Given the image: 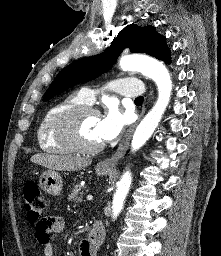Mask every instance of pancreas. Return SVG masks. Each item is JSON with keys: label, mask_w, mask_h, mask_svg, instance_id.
Here are the masks:
<instances>
[{"label": "pancreas", "mask_w": 221, "mask_h": 256, "mask_svg": "<svg viewBox=\"0 0 221 256\" xmlns=\"http://www.w3.org/2000/svg\"><path fill=\"white\" fill-rule=\"evenodd\" d=\"M83 194V188L76 185L68 195V201L73 202L74 204L81 203L83 201Z\"/></svg>", "instance_id": "1"}]
</instances>
